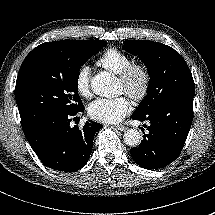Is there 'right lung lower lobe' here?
Returning a JSON list of instances; mask_svg holds the SVG:
<instances>
[{"instance_id":"obj_1","label":"right lung lower lobe","mask_w":215,"mask_h":215,"mask_svg":"<svg viewBox=\"0 0 215 215\" xmlns=\"http://www.w3.org/2000/svg\"><path fill=\"white\" fill-rule=\"evenodd\" d=\"M83 111L84 107L74 113L48 114L23 128L26 139L43 164L65 172H75L86 165L94 133L103 126L89 120L82 130L70 127L71 117Z\"/></svg>"}]
</instances>
